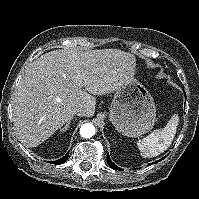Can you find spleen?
<instances>
[{"mask_svg": "<svg viewBox=\"0 0 199 199\" xmlns=\"http://www.w3.org/2000/svg\"><path fill=\"white\" fill-rule=\"evenodd\" d=\"M178 115L174 114L162 129L154 130L149 136L137 142L144 158H152L163 153L172 143L178 126Z\"/></svg>", "mask_w": 199, "mask_h": 199, "instance_id": "3e777b00", "label": "spleen"}]
</instances>
